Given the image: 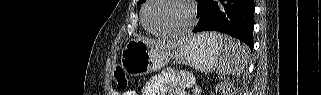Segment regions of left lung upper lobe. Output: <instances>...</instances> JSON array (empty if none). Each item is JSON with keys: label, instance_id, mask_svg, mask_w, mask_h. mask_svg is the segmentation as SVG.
<instances>
[{"label": "left lung upper lobe", "instance_id": "1", "mask_svg": "<svg viewBox=\"0 0 321 95\" xmlns=\"http://www.w3.org/2000/svg\"><path fill=\"white\" fill-rule=\"evenodd\" d=\"M140 1V3H144L146 0H139Z\"/></svg>", "mask_w": 321, "mask_h": 95}]
</instances>
